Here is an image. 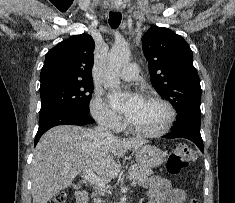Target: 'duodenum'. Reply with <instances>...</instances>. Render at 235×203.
Wrapping results in <instances>:
<instances>
[{"mask_svg":"<svg viewBox=\"0 0 235 203\" xmlns=\"http://www.w3.org/2000/svg\"><path fill=\"white\" fill-rule=\"evenodd\" d=\"M77 203H89V196L86 190H80L76 195Z\"/></svg>","mask_w":235,"mask_h":203,"instance_id":"1","label":"duodenum"}]
</instances>
